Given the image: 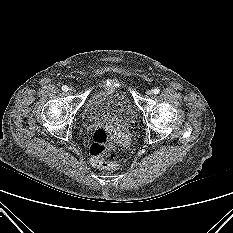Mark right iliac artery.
Segmentation results:
<instances>
[{
  "label": "right iliac artery",
  "instance_id": "1",
  "mask_svg": "<svg viewBox=\"0 0 233 233\" xmlns=\"http://www.w3.org/2000/svg\"><path fill=\"white\" fill-rule=\"evenodd\" d=\"M63 91H68V87L66 85L62 86Z\"/></svg>",
  "mask_w": 233,
  "mask_h": 233
}]
</instances>
